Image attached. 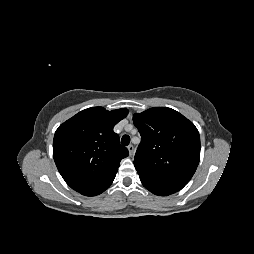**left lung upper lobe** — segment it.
<instances>
[{"label":"left lung upper lobe","instance_id":"5c2ea615","mask_svg":"<svg viewBox=\"0 0 254 254\" xmlns=\"http://www.w3.org/2000/svg\"><path fill=\"white\" fill-rule=\"evenodd\" d=\"M133 123L141 135L134 157L136 170L187 184L200 160V136L195 125L166 107L136 113Z\"/></svg>","mask_w":254,"mask_h":254}]
</instances>
